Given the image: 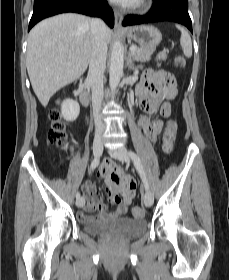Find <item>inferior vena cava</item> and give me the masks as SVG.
Returning <instances> with one entry per match:
<instances>
[{
  "label": "inferior vena cava",
  "instance_id": "1",
  "mask_svg": "<svg viewBox=\"0 0 229 280\" xmlns=\"http://www.w3.org/2000/svg\"><path fill=\"white\" fill-rule=\"evenodd\" d=\"M92 49L89 59L87 81L92 89V106L95 122V134L101 135L104 125L101 121L100 110L103 100V74L106 67L107 43L105 40V23L98 18L90 21Z\"/></svg>",
  "mask_w": 229,
  "mask_h": 280
}]
</instances>
